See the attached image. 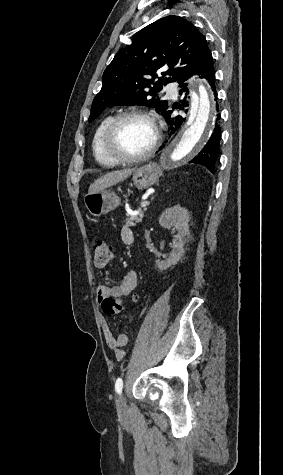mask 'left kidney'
Returning <instances> with one entry per match:
<instances>
[{
    "mask_svg": "<svg viewBox=\"0 0 283 475\" xmlns=\"http://www.w3.org/2000/svg\"><path fill=\"white\" fill-rule=\"evenodd\" d=\"M189 220L190 214L186 208H180L173 206V208H167L165 212H162L159 220L160 226L167 228V230H176V236L172 239V249L165 259H156V265L158 269H168L171 265H175L179 259H181L184 253V245L187 241L192 239L189 232Z\"/></svg>",
    "mask_w": 283,
    "mask_h": 475,
    "instance_id": "left-kidney-1",
    "label": "left kidney"
}]
</instances>
